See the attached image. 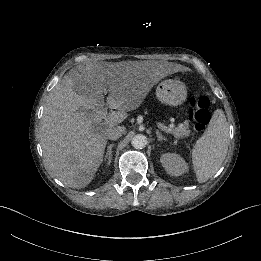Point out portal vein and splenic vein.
I'll return each instance as SVG.
<instances>
[{"label":"portal vein and splenic vein","instance_id":"18ae733b","mask_svg":"<svg viewBox=\"0 0 261 261\" xmlns=\"http://www.w3.org/2000/svg\"><path fill=\"white\" fill-rule=\"evenodd\" d=\"M182 126H183V124H180V125H179V127H182ZM158 127H159L160 129H162V130L168 132V133H170L171 130H172L171 127L168 128L167 126L163 125L162 123H158ZM177 143H178V140H177V139H174V140L171 141V144H172V145H175V144H177Z\"/></svg>","mask_w":261,"mask_h":261}]
</instances>
